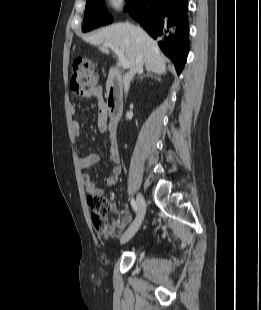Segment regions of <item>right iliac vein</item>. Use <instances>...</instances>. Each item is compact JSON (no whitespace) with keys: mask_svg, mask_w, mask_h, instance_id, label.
I'll return each mask as SVG.
<instances>
[{"mask_svg":"<svg viewBox=\"0 0 261 310\" xmlns=\"http://www.w3.org/2000/svg\"><path fill=\"white\" fill-rule=\"evenodd\" d=\"M137 204H138L137 216L132 225L130 226V228L121 237L120 240L121 244L128 242L136 234V232L138 231V229L142 224V221L146 213V201L141 193H138L137 195Z\"/></svg>","mask_w":261,"mask_h":310,"instance_id":"63e3f726","label":"right iliac vein"}]
</instances>
